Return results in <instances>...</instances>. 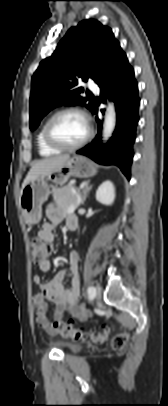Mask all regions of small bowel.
I'll return each instance as SVG.
<instances>
[{
	"mask_svg": "<svg viewBox=\"0 0 168 406\" xmlns=\"http://www.w3.org/2000/svg\"><path fill=\"white\" fill-rule=\"evenodd\" d=\"M48 222L44 223L38 231V237L46 243H52L55 239L54 230L65 220L68 226L69 222L77 221V217L70 211L61 209L57 204H50L46 209ZM79 254L77 251H72L69 254L67 268L60 270L55 274L53 279L47 283L42 282L39 274H35L32 278L33 282L38 285L39 291L34 296L35 318L40 327L54 335L56 329L47 317L48 303L55 304L53 317L54 320H62L64 312L67 311L74 318L83 321L89 316V311L83 305L80 298V279L78 274ZM51 261L47 260L40 265L43 272L49 271ZM70 274V285L64 287L63 280L66 275Z\"/></svg>",
	"mask_w": 168,
	"mask_h": 406,
	"instance_id": "c3829d8e",
	"label": "small bowel"
}]
</instances>
